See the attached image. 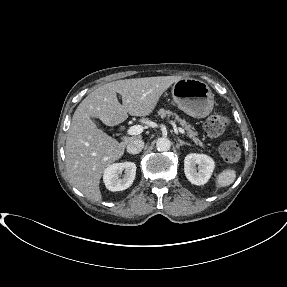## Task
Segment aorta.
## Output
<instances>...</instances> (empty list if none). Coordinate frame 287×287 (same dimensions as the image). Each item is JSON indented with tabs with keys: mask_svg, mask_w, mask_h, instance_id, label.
I'll use <instances>...</instances> for the list:
<instances>
[{
	"mask_svg": "<svg viewBox=\"0 0 287 287\" xmlns=\"http://www.w3.org/2000/svg\"><path fill=\"white\" fill-rule=\"evenodd\" d=\"M156 148L161 152L169 151L171 148V141L166 137H161L156 142Z\"/></svg>",
	"mask_w": 287,
	"mask_h": 287,
	"instance_id": "aorta-1",
	"label": "aorta"
}]
</instances>
